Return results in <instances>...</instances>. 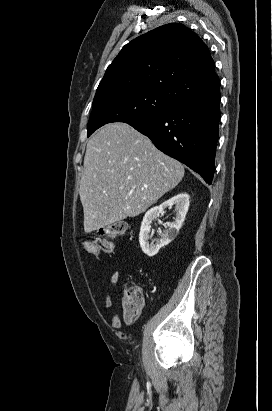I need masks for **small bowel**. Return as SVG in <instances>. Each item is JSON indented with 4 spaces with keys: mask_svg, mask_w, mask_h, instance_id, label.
I'll use <instances>...</instances> for the list:
<instances>
[{
    "mask_svg": "<svg viewBox=\"0 0 272 411\" xmlns=\"http://www.w3.org/2000/svg\"><path fill=\"white\" fill-rule=\"evenodd\" d=\"M119 278H120L119 272L117 270L113 271L109 279L110 285L115 286L118 283ZM104 304L107 309H111L113 306L111 295L108 293L105 294L104 296ZM120 326H121L120 315L117 312H115L113 313V316H112L111 327L113 329H118L120 328Z\"/></svg>",
    "mask_w": 272,
    "mask_h": 411,
    "instance_id": "c3829d8e",
    "label": "small bowel"
}]
</instances>
